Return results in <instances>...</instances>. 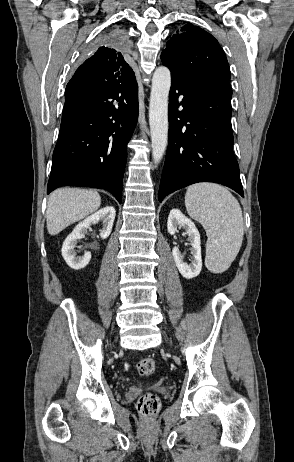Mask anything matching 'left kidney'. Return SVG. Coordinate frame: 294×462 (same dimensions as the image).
Listing matches in <instances>:
<instances>
[{
	"instance_id": "obj_1",
	"label": "left kidney",
	"mask_w": 294,
	"mask_h": 462,
	"mask_svg": "<svg viewBox=\"0 0 294 462\" xmlns=\"http://www.w3.org/2000/svg\"><path fill=\"white\" fill-rule=\"evenodd\" d=\"M177 226H182L188 235V240L192 246V259L191 264L188 265L178 247H174L172 250L173 258L181 275L186 279H192L198 276L202 269L200 234L195 224L179 209H172L167 221L168 233L174 235Z\"/></svg>"
}]
</instances>
